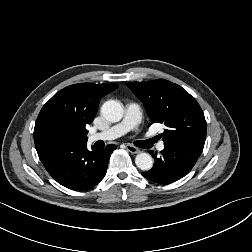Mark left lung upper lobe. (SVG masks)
I'll list each match as a JSON object with an SVG mask.
<instances>
[{"label": "left lung upper lobe", "instance_id": "5c2ea615", "mask_svg": "<svg viewBox=\"0 0 252 252\" xmlns=\"http://www.w3.org/2000/svg\"><path fill=\"white\" fill-rule=\"evenodd\" d=\"M143 102L152 123H162L164 146L190 145L203 150L206 121L193 96L164 79L126 84Z\"/></svg>", "mask_w": 252, "mask_h": 252}]
</instances>
